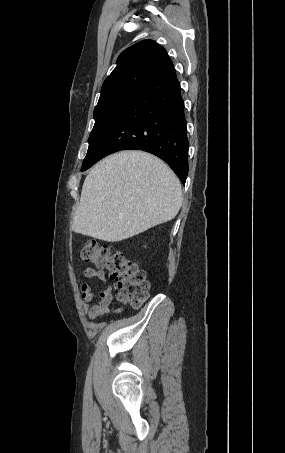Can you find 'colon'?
Here are the masks:
<instances>
[{"mask_svg":"<svg viewBox=\"0 0 285 453\" xmlns=\"http://www.w3.org/2000/svg\"><path fill=\"white\" fill-rule=\"evenodd\" d=\"M81 259L100 268H106L117 287V299L133 308L140 307L148 298L149 282L146 273L121 251L112 250L95 239L85 242Z\"/></svg>","mask_w":285,"mask_h":453,"instance_id":"5ec220e1","label":"colon"}]
</instances>
